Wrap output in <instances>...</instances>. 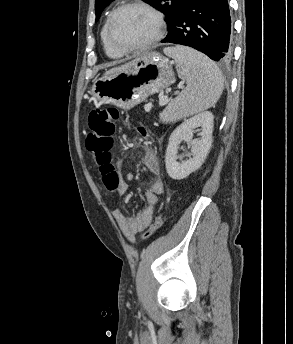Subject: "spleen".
<instances>
[{
	"mask_svg": "<svg viewBox=\"0 0 293 344\" xmlns=\"http://www.w3.org/2000/svg\"><path fill=\"white\" fill-rule=\"evenodd\" d=\"M164 53L174 59L178 75L186 80L187 87L160 114L163 122H176L216 104L224 89V79L212 60L183 46L167 47Z\"/></svg>",
	"mask_w": 293,
	"mask_h": 344,
	"instance_id": "spleen-1",
	"label": "spleen"
}]
</instances>
